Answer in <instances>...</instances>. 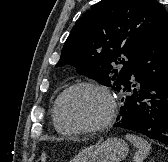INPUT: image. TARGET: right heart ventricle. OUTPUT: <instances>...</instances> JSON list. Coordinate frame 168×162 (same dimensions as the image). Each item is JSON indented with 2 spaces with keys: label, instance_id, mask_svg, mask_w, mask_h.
Instances as JSON below:
<instances>
[{
  "label": "right heart ventricle",
  "instance_id": "1",
  "mask_svg": "<svg viewBox=\"0 0 168 162\" xmlns=\"http://www.w3.org/2000/svg\"><path fill=\"white\" fill-rule=\"evenodd\" d=\"M52 120H53V124H54V127L56 129V131L62 135H69L72 133V131L66 129L65 127H63L59 121L57 120L56 118V115H55V104L53 105V108H52Z\"/></svg>",
  "mask_w": 168,
  "mask_h": 162
}]
</instances>
